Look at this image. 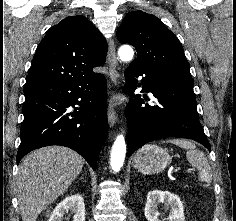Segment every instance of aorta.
<instances>
[{"label":"aorta","instance_id":"1","mask_svg":"<svg viewBox=\"0 0 236 221\" xmlns=\"http://www.w3.org/2000/svg\"><path fill=\"white\" fill-rule=\"evenodd\" d=\"M118 56L122 61H131L134 51L131 46L123 45L118 50ZM126 154V143L123 135H118L112 146L110 164L114 172H119L122 168Z\"/></svg>","mask_w":236,"mask_h":221}]
</instances>
